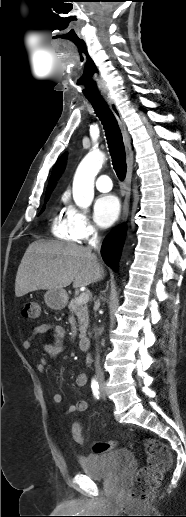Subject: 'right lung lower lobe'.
Masks as SVG:
<instances>
[{
	"instance_id": "obj_1",
	"label": "right lung lower lobe",
	"mask_w": 186,
	"mask_h": 517,
	"mask_svg": "<svg viewBox=\"0 0 186 517\" xmlns=\"http://www.w3.org/2000/svg\"><path fill=\"white\" fill-rule=\"evenodd\" d=\"M125 232L126 230L124 227L115 229L106 237L101 248L103 260L114 271H116L118 267V260L124 244Z\"/></svg>"
}]
</instances>
